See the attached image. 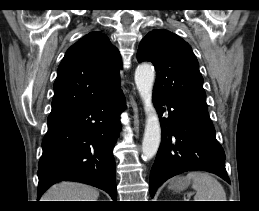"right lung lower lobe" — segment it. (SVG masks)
Wrapping results in <instances>:
<instances>
[{"mask_svg": "<svg viewBox=\"0 0 259 211\" xmlns=\"http://www.w3.org/2000/svg\"><path fill=\"white\" fill-rule=\"evenodd\" d=\"M123 108L120 90L85 106L50 113L38 164V199L54 183L69 180L98 187L116 200L112 150Z\"/></svg>", "mask_w": 259, "mask_h": 211, "instance_id": "right-lung-lower-lobe-1", "label": "right lung lower lobe"}]
</instances>
